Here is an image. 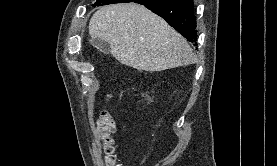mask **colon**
I'll return each mask as SVG.
<instances>
[{
  "instance_id": "1",
  "label": "colon",
  "mask_w": 277,
  "mask_h": 166,
  "mask_svg": "<svg viewBox=\"0 0 277 166\" xmlns=\"http://www.w3.org/2000/svg\"><path fill=\"white\" fill-rule=\"evenodd\" d=\"M97 129L101 137L102 147L105 153L107 166L115 164L114 139L115 122L108 111H103L97 122Z\"/></svg>"
}]
</instances>
